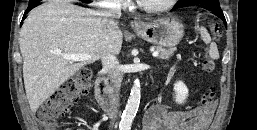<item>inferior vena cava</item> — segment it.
<instances>
[{
	"mask_svg": "<svg viewBox=\"0 0 257 130\" xmlns=\"http://www.w3.org/2000/svg\"><path fill=\"white\" fill-rule=\"evenodd\" d=\"M105 17L106 31L113 33L118 29L115 19L120 18L121 8L120 4L116 3L101 13ZM103 68L107 71L110 81L115 90V105L119 106V95L122 82V73L119 62L115 54L106 52L102 57Z\"/></svg>",
	"mask_w": 257,
	"mask_h": 130,
	"instance_id": "602c4592",
	"label": "inferior vena cava"
}]
</instances>
